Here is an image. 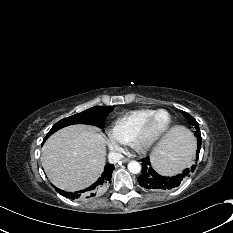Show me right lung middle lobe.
Listing matches in <instances>:
<instances>
[{
	"mask_svg": "<svg viewBox=\"0 0 233 233\" xmlns=\"http://www.w3.org/2000/svg\"><path fill=\"white\" fill-rule=\"evenodd\" d=\"M113 110V106H95L81 113L64 118L57 122L46 135L44 141L57 130L73 124H90L103 126L107 115Z\"/></svg>",
	"mask_w": 233,
	"mask_h": 233,
	"instance_id": "obj_1",
	"label": "right lung middle lobe"
}]
</instances>
